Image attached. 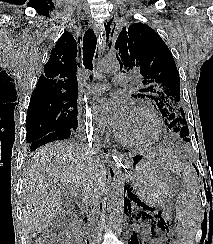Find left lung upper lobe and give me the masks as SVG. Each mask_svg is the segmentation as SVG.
I'll return each instance as SVG.
<instances>
[{
	"label": "left lung upper lobe",
	"mask_w": 213,
	"mask_h": 244,
	"mask_svg": "<svg viewBox=\"0 0 213 244\" xmlns=\"http://www.w3.org/2000/svg\"><path fill=\"white\" fill-rule=\"evenodd\" d=\"M115 48L120 70L133 72L137 77L138 91L133 96L149 98L164 118L168 130L189 142V129L180 99L179 73L162 38L148 25L135 23L122 29Z\"/></svg>",
	"instance_id": "obj_1"
}]
</instances>
